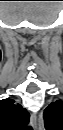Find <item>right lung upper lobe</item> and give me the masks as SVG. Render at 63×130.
Instances as JSON below:
<instances>
[{
    "mask_svg": "<svg viewBox=\"0 0 63 130\" xmlns=\"http://www.w3.org/2000/svg\"><path fill=\"white\" fill-rule=\"evenodd\" d=\"M14 100L0 101L1 125L6 130H23L29 122V113L20 104H14Z\"/></svg>",
    "mask_w": 63,
    "mask_h": 130,
    "instance_id": "obj_1",
    "label": "right lung upper lobe"
}]
</instances>
